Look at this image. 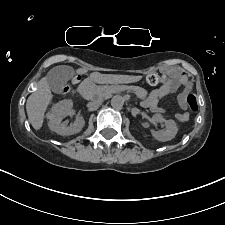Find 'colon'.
I'll list each match as a JSON object with an SVG mask.
<instances>
[{
    "instance_id": "5ec220e1",
    "label": "colon",
    "mask_w": 225,
    "mask_h": 225,
    "mask_svg": "<svg viewBox=\"0 0 225 225\" xmlns=\"http://www.w3.org/2000/svg\"><path fill=\"white\" fill-rule=\"evenodd\" d=\"M146 81L150 85H157L160 83H166L168 81V76L166 74L161 73H150L146 76ZM67 90V89H65ZM187 104L189 109L192 112H196L198 110V100L194 94H190L187 97Z\"/></svg>"
}]
</instances>
